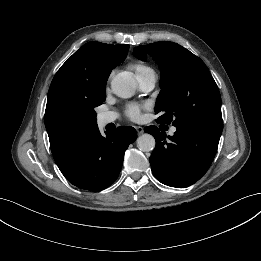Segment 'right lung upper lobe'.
Segmentation results:
<instances>
[{
	"label": "right lung upper lobe",
	"mask_w": 261,
	"mask_h": 261,
	"mask_svg": "<svg viewBox=\"0 0 261 261\" xmlns=\"http://www.w3.org/2000/svg\"><path fill=\"white\" fill-rule=\"evenodd\" d=\"M128 48L125 44L86 43L55 74L48 92L45 126L56 163L96 128L69 133L65 123L70 116L99 104L111 70L125 59Z\"/></svg>",
	"instance_id": "obj_1"
}]
</instances>
